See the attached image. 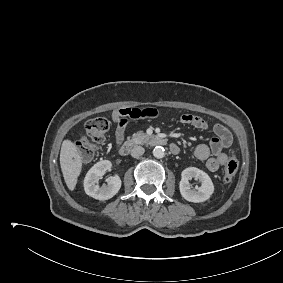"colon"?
<instances>
[{
	"instance_id": "1",
	"label": "colon",
	"mask_w": 283,
	"mask_h": 283,
	"mask_svg": "<svg viewBox=\"0 0 283 283\" xmlns=\"http://www.w3.org/2000/svg\"><path fill=\"white\" fill-rule=\"evenodd\" d=\"M110 123L107 119L96 117L89 119L85 124V133L77 143L79 152L83 159H90L94 153L105 142ZM239 168V162L234 153L227 160L222 179L224 182H230Z\"/></svg>"
}]
</instances>
